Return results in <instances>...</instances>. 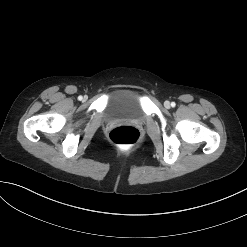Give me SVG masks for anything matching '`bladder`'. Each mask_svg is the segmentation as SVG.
<instances>
[{
	"mask_svg": "<svg viewBox=\"0 0 247 247\" xmlns=\"http://www.w3.org/2000/svg\"><path fill=\"white\" fill-rule=\"evenodd\" d=\"M104 119L107 121L129 119L141 121L145 117L141 93L132 88H118L109 95Z\"/></svg>",
	"mask_w": 247,
	"mask_h": 247,
	"instance_id": "obj_1",
	"label": "bladder"
}]
</instances>
